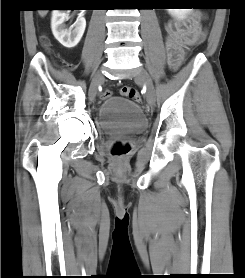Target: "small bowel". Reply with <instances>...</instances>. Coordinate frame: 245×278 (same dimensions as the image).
Instances as JSON below:
<instances>
[{"instance_id":"1","label":"small bowel","mask_w":245,"mask_h":278,"mask_svg":"<svg viewBox=\"0 0 245 278\" xmlns=\"http://www.w3.org/2000/svg\"><path fill=\"white\" fill-rule=\"evenodd\" d=\"M168 64L177 69L185 58V46L201 42L206 35L199 17L190 18L185 24L169 21L166 26Z\"/></svg>"}]
</instances>
